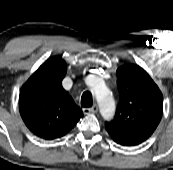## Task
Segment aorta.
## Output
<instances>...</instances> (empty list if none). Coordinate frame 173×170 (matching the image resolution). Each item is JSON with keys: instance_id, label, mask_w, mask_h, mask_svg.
I'll return each instance as SVG.
<instances>
[{"instance_id": "1", "label": "aorta", "mask_w": 173, "mask_h": 170, "mask_svg": "<svg viewBox=\"0 0 173 170\" xmlns=\"http://www.w3.org/2000/svg\"><path fill=\"white\" fill-rule=\"evenodd\" d=\"M93 93L97 99L100 113L105 120H110L115 114V101L109 89L100 81L92 84Z\"/></svg>"}]
</instances>
